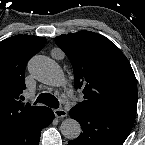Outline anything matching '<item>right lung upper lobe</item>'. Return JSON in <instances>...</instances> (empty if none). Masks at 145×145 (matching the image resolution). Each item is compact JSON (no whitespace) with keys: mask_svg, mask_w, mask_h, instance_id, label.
<instances>
[{"mask_svg":"<svg viewBox=\"0 0 145 145\" xmlns=\"http://www.w3.org/2000/svg\"><path fill=\"white\" fill-rule=\"evenodd\" d=\"M46 43L44 37L16 35L0 42V134L46 107L23 104L24 71L28 60Z\"/></svg>","mask_w":145,"mask_h":145,"instance_id":"obj_1","label":"right lung upper lobe"}]
</instances>
